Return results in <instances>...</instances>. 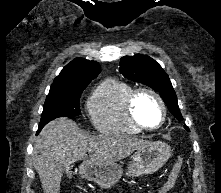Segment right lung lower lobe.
<instances>
[{"mask_svg": "<svg viewBox=\"0 0 221 193\" xmlns=\"http://www.w3.org/2000/svg\"><path fill=\"white\" fill-rule=\"evenodd\" d=\"M40 130H41V129L39 128L37 134L39 133Z\"/></svg>", "mask_w": 221, "mask_h": 193, "instance_id": "98d812e1", "label": "right lung lower lobe"}]
</instances>
